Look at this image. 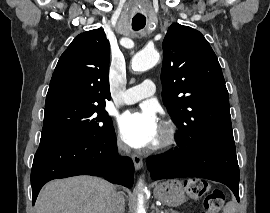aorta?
Instances as JSON below:
<instances>
[{
    "instance_id": "obj_1",
    "label": "aorta",
    "mask_w": 270,
    "mask_h": 213,
    "mask_svg": "<svg viewBox=\"0 0 270 213\" xmlns=\"http://www.w3.org/2000/svg\"><path fill=\"white\" fill-rule=\"evenodd\" d=\"M159 59L160 54L157 50L144 49L134 55L132 58L131 66L134 71L143 72L155 66ZM138 186H142V181L139 182ZM136 213H146L144 207V196L141 193L138 195Z\"/></svg>"
}]
</instances>
